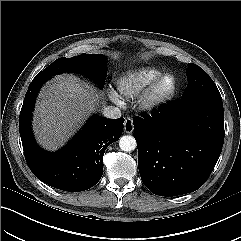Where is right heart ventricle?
<instances>
[{
    "instance_id": "1",
    "label": "right heart ventricle",
    "mask_w": 241,
    "mask_h": 241,
    "mask_svg": "<svg viewBox=\"0 0 241 241\" xmlns=\"http://www.w3.org/2000/svg\"><path fill=\"white\" fill-rule=\"evenodd\" d=\"M162 72L154 67H141L120 75L115 85L124 98H134L142 93Z\"/></svg>"
}]
</instances>
